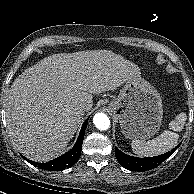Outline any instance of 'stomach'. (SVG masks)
Returning a JSON list of instances; mask_svg holds the SVG:
<instances>
[{
	"instance_id": "1",
	"label": "stomach",
	"mask_w": 194,
	"mask_h": 194,
	"mask_svg": "<svg viewBox=\"0 0 194 194\" xmlns=\"http://www.w3.org/2000/svg\"><path fill=\"white\" fill-rule=\"evenodd\" d=\"M109 109L119 120L128 139L147 140L160 129L163 119L162 99L148 81L139 76L128 79Z\"/></svg>"
}]
</instances>
